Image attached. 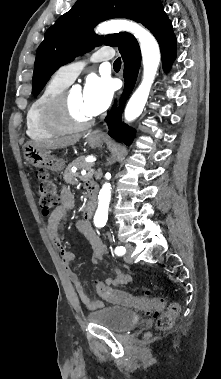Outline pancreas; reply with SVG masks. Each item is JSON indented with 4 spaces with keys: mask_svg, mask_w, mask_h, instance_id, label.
Masks as SVG:
<instances>
[{
    "mask_svg": "<svg viewBox=\"0 0 221 379\" xmlns=\"http://www.w3.org/2000/svg\"><path fill=\"white\" fill-rule=\"evenodd\" d=\"M73 166H76L78 169H81V168H85L86 170H91L93 164L91 163H85L84 162V158L83 157H80V158H77L76 160H74L73 162H71L65 172H64V180L66 183L68 184H71V185H75L77 184L79 181L78 179L80 180H85L86 179V176H81L78 172L76 173H73L71 171V168Z\"/></svg>",
    "mask_w": 221,
    "mask_h": 379,
    "instance_id": "pancreas-1",
    "label": "pancreas"
}]
</instances>
